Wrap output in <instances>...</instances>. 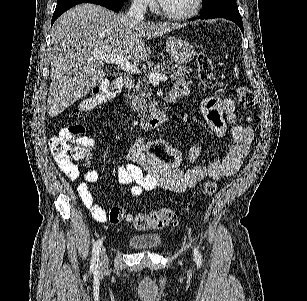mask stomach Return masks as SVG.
I'll return each instance as SVG.
<instances>
[{
    "label": "stomach",
    "instance_id": "0dacf381",
    "mask_svg": "<svg viewBox=\"0 0 307 301\" xmlns=\"http://www.w3.org/2000/svg\"><path fill=\"white\" fill-rule=\"evenodd\" d=\"M166 50L171 62H176V64H186L196 56L195 46H192L188 40L176 38V36H169L166 42Z\"/></svg>",
    "mask_w": 307,
    "mask_h": 301
}]
</instances>
